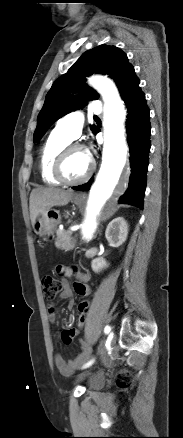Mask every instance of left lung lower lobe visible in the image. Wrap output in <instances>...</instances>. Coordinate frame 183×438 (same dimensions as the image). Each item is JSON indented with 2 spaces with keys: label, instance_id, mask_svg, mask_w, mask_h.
<instances>
[{
  "label": "left lung lower lobe",
  "instance_id": "0a47b994",
  "mask_svg": "<svg viewBox=\"0 0 183 438\" xmlns=\"http://www.w3.org/2000/svg\"><path fill=\"white\" fill-rule=\"evenodd\" d=\"M140 81L135 77L122 92L121 96L128 109L126 129L127 142L130 148L131 175L128 189L120 197L119 203L143 208V197L146 189V173L150 144V117L145 95L139 87ZM97 130L95 132L98 133ZM93 178L86 184L72 187L74 190L87 191Z\"/></svg>",
  "mask_w": 183,
  "mask_h": 438
}]
</instances>
